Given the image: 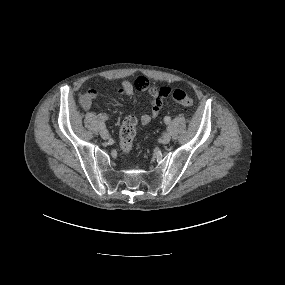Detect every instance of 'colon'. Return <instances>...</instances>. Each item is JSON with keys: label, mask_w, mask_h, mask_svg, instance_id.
<instances>
[{"label": "colon", "mask_w": 285, "mask_h": 285, "mask_svg": "<svg viewBox=\"0 0 285 285\" xmlns=\"http://www.w3.org/2000/svg\"><path fill=\"white\" fill-rule=\"evenodd\" d=\"M137 88H144L147 84L145 77H138L135 81ZM173 99L181 104L185 109L193 106V99L183 90L176 89L172 93ZM120 146L124 154H130L133 150L134 141L137 134V119L132 116H126L120 127Z\"/></svg>", "instance_id": "obj_1"}]
</instances>
